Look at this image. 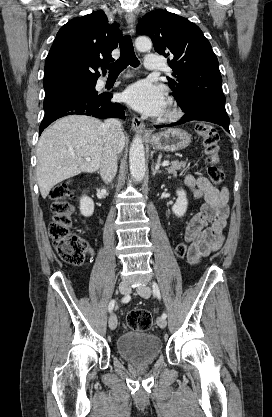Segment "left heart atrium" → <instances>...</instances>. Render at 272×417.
Listing matches in <instances>:
<instances>
[{"instance_id": "39dd6f15", "label": "left heart atrium", "mask_w": 272, "mask_h": 417, "mask_svg": "<svg viewBox=\"0 0 272 417\" xmlns=\"http://www.w3.org/2000/svg\"><path fill=\"white\" fill-rule=\"evenodd\" d=\"M122 99L136 111L149 116H159L167 107L164 88L147 80L138 81L127 87L122 93Z\"/></svg>"}]
</instances>
